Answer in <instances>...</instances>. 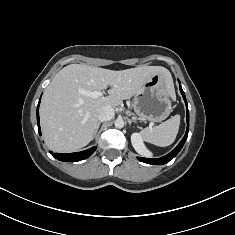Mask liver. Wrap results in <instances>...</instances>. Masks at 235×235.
I'll use <instances>...</instances> for the list:
<instances>
[{
    "instance_id": "liver-1",
    "label": "liver",
    "mask_w": 235,
    "mask_h": 235,
    "mask_svg": "<svg viewBox=\"0 0 235 235\" xmlns=\"http://www.w3.org/2000/svg\"><path fill=\"white\" fill-rule=\"evenodd\" d=\"M155 74H161L171 95L174 87L170 72L161 66H138L114 71L86 64L61 69L45 89L40 121L47 146L55 152H73L94 137L98 112L103 106L116 107L133 97ZM108 96L92 98L80 91H102Z\"/></svg>"
}]
</instances>
